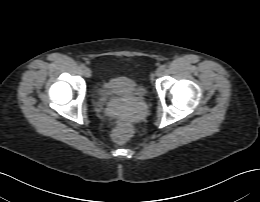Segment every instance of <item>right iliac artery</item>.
<instances>
[{"instance_id":"right-iliac-artery-1","label":"right iliac artery","mask_w":260,"mask_h":202,"mask_svg":"<svg viewBox=\"0 0 260 202\" xmlns=\"http://www.w3.org/2000/svg\"><path fill=\"white\" fill-rule=\"evenodd\" d=\"M80 68H81V69H84V68H85V65H84V64H80Z\"/></svg>"}]
</instances>
